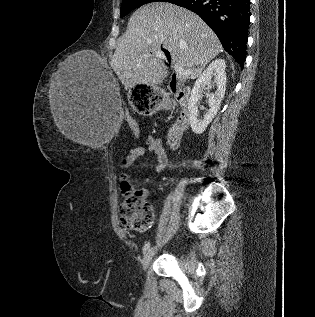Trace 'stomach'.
Segmentation results:
<instances>
[{
    "mask_svg": "<svg viewBox=\"0 0 315 317\" xmlns=\"http://www.w3.org/2000/svg\"><path fill=\"white\" fill-rule=\"evenodd\" d=\"M155 84H132L130 98L134 108V114H157L158 97Z\"/></svg>",
    "mask_w": 315,
    "mask_h": 317,
    "instance_id": "0dacf381",
    "label": "stomach"
}]
</instances>
